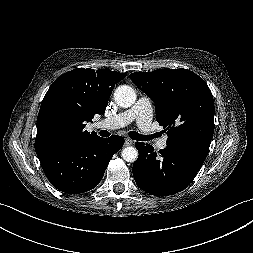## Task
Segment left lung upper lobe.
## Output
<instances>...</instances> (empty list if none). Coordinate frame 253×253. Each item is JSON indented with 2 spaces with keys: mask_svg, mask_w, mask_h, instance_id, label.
I'll use <instances>...</instances> for the list:
<instances>
[{
  "mask_svg": "<svg viewBox=\"0 0 253 253\" xmlns=\"http://www.w3.org/2000/svg\"><path fill=\"white\" fill-rule=\"evenodd\" d=\"M130 78L154 102L156 120L167 131V146H210L214 101L206 82L187 69L135 72Z\"/></svg>",
  "mask_w": 253,
  "mask_h": 253,
  "instance_id": "obj_1",
  "label": "left lung upper lobe"
}]
</instances>
